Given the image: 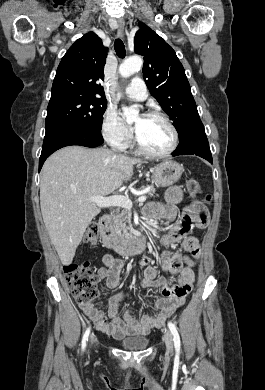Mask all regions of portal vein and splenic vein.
Listing matches in <instances>:
<instances>
[{
	"label": "portal vein and splenic vein",
	"instance_id": "obj_1",
	"mask_svg": "<svg viewBox=\"0 0 265 390\" xmlns=\"http://www.w3.org/2000/svg\"><path fill=\"white\" fill-rule=\"evenodd\" d=\"M149 189H145L142 191V195L137 199L138 202H144L146 200V196L144 194L148 192ZM89 201L98 206V207H123L126 209L132 208V201L122 195H114L109 197L95 196L89 199Z\"/></svg>",
	"mask_w": 265,
	"mask_h": 390
}]
</instances>
